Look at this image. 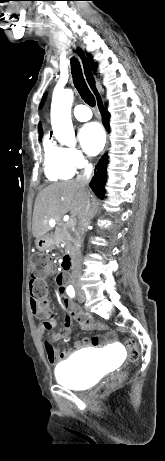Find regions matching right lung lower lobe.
Listing matches in <instances>:
<instances>
[{
	"mask_svg": "<svg viewBox=\"0 0 165 461\" xmlns=\"http://www.w3.org/2000/svg\"><path fill=\"white\" fill-rule=\"evenodd\" d=\"M103 124L107 130H109V113L105 112L103 115ZM107 155L105 154L99 161L96 166L95 176L92 178L89 186L94 191V193L100 198L103 199L104 196V185L106 182V166H107Z\"/></svg>",
	"mask_w": 165,
	"mask_h": 461,
	"instance_id": "right-lung-lower-lobe-1",
	"label": "right lung lower lobe"
}]
</instances>
